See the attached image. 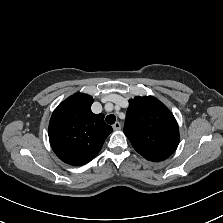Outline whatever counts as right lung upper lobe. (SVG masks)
Here are the masks:
<instances>
[{
  "label": "right lung upper lobe",
  "instance_id": "obj_1",
  "mask_svg": "<svg viewBox=\"0 0 223 223\" xmlns=\"http://www.w3.org/2000/svg\"><path fill=\"white\" fill-rule=\"evenodd\" d=\"M92 103V97L76 93L51 116L49 141L55 154L67 164L79 166L91 161L112 132L102 113H92Z\"/></svg>",
  "mask_w": 223,
  "mask_h": 223
}]
</instances>
